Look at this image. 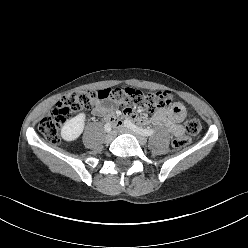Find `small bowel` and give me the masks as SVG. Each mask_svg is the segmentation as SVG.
<instances>
[{
	"label": "small bowel",
	"instance_id": "c3829d8e",
	"mask_svg": "<svg viewBox=\"0 0 248 248\" xmlns=\"http://www.w3.org/2000/svg\"><path fill=\"white\" fill-rule=\"evenodd\" d=\"M115 104L112 100L104 98L96 100L94 103L93 113L96 116L106 119L114 126H120L121 121L115 115ZM124 113L132 120L140 121L143 123H151L155 125H164L167 131L175 136H181L184 133L181 122L185 118L186 109L183 104L177 102L169 107L159 109L151 118L137 116L133 110L125 109Z\"/></svg>",
	"mask_w": 248,
	"mask_h": 248
}]
</instances>
